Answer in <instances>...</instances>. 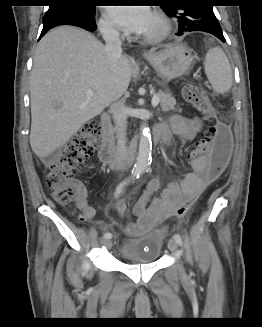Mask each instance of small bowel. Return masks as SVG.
Instances as JSON below:
<instances>
[{
    "label": "small bowel",
    "instance_id": "c3829d8e",
    "mask_svg": "<svg viewBox=\"0 0 262 327\" xmlns=\"http://www.w3.org/2000/svg\"><path fill=\"white\" fill-rule=\"evenodd\" d=\"M203 126L204 120L201 118L174 116L169 124L158 126V140L167 146L171 144L174 137L186 142L193 141L201 133ZM188 159L196 160L193 170L179 181H168L164 188L159 179H152L147 183L140 199L133 207L137 221L126 226L127 233L138 235L149 231L171 216L170 211L176 210L184 200L195 201L212 176H209L208 158H204L203 153H189ZM189 160L186 162L188 165L191 163ZM153 193L157 196L150 200ZM77 206L83 220L93 218L94 210L88 204L85 193H82L77 200Z\"/></svg>",
    "mask_w": 262,
    "mask_h": 327
}]
</instances>
